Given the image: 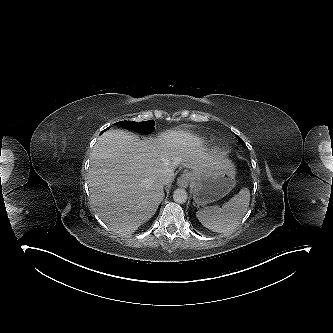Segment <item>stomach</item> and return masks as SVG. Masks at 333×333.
Instances as JSON below:
<instances>
[{
    "label": "stomach",
    "mask_w": 333,
    "mask_h": 333,
    "mask_svg": "<svg viewBox=\"0 0 333 333\" xmlns=\"http://www.w3.org/2000/svg\"><path fill=\"white\" fill-rule=\"evenodd\" d=\"M191 191L194 201L206 205L226 196L235 186L233 165L215 166L201 173H191Z\"/></svg>",
    "instance_id": "1"
}]
</instances>
